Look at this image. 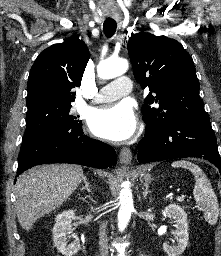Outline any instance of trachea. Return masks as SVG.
Here are the masks:
<instances>
[{
  "instance_id": "obj_1",
  "label": "trachea",
  "mask_w": 221,
  "mask_h": 256,
  "mask_svg": "<svg viewBox=\"0 0 221 256\" xmlns=\"http://www.w3.org/2000/svg\"><path fill=\"white\" fill-rule=\"evenodd\" d=\"M117 24L113 20H106L103 24V30L106 37L110 38L114 35L116 31Z\"/></svg>"
}]
</instances>
